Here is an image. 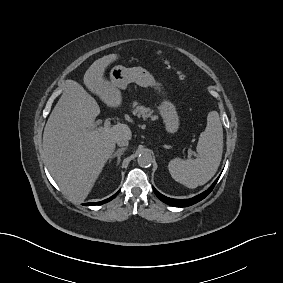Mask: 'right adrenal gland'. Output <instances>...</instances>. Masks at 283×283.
I'll use <instances>...</instances> for the list:
<instances>
[{
	"label": "right adrenal gland",
	"mask_w": 283,
	"mask_h": 283,
	"mask_svg": "<svg viewBox=\"0 0 283 283\" xmlns=\"http://www.w3.org/2000/svg\"><path fill=\"white\" fill-rule=\"evenodd\" d=\"M127 148H120L118 149L114 154H112L110 156V159H109V163L111 162V160L115 157H117V165H119L120 163V160H121V155L123 154V152L126 150Z\"/></svg>",
	"instance_id": "right-adrenal-gland-1"
}]
</instances>
